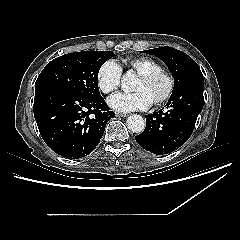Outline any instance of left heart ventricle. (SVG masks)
Listing matches in <instances>:
<instances>
[{
    "instance_id": "1",
    "label": "left heart ventricle",
    "mask_w": 240,
    "mask_h": 240,
    "mask_svg": "<svg viewBox=\"0 0 240 240\" xmlns=\"http://www.w3.org/2000/svg\"><path fill=\"white\" fill-rule=\"evenodd\" d=\"M133 89L136 91H142L150 102H153L164 93L166 84L161 79L154 80L153 82H145L138 77Z\"/></svg>"
}]
</instances>
